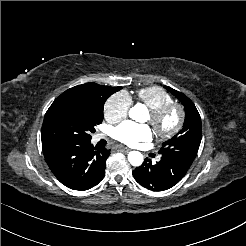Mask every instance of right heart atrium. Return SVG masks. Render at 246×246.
<instances>
[{"label": "right heart atrium", "instance_id": "d8ad5b80", "mask_svg": "<svg viewBox=\"0 0 246 246\" xmlns=\"http://www.w3.org/2000/svg\"><path fill=\"white\" fill-rule=\"evenodd\" d=\"M132 99L126 91L111 95L104 104V116L107 121L116 123L127 117Z\"/></svg>", "mask_w": 246, "mask_h": 246}]
</instances>
